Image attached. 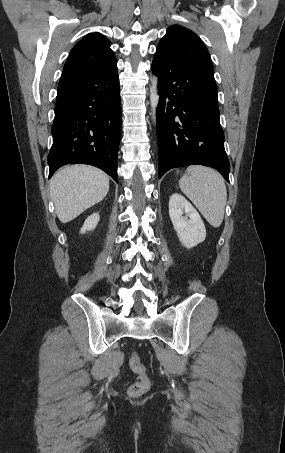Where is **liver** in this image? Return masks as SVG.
<instances>
[{
	"label": "liver",
	"mask_w": 285,
	"mask_h": 453,
	"mask_svg": "<svg viewBox=\"0 0 285 453\" xmlns=\"http://www.w3.org/2000/svg\"><path fill=\"white\" fill-rule=\"evenodd\" d=\"M109 190V177L87 165L65 166L51 179L50 194L62 223H67L104 199Z\"/></svg>",
	"instance_id": "obj_1"
}]
</instances>
